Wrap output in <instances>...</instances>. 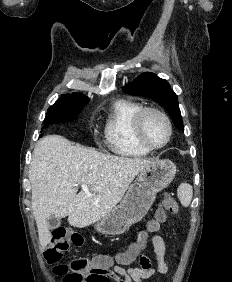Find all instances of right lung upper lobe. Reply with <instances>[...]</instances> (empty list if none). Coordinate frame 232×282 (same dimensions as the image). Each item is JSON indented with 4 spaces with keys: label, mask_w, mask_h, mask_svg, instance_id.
Listing matches in <instances>:
<instances>
[{
    "label": "right lung upper lobe",
    "mask_w": 232,
    "mask_h": 282,
    "mask_svg": "<svg viewBox=\"0 0 232 282\" xmlns=\"http://www.w3.org/2000/svg\"><path fill=\"white\" fill-rule=\"evenodd\" d=\"M84 99H88V98L82 94L73 93L72 95L70 94L63 95L62 98H60L58 101H74V100H84Z\"/></svg>",
    "instance_id": "right-lung-upper-lobe-1"
}]
</instances>
